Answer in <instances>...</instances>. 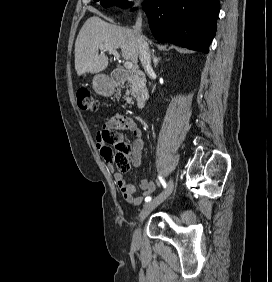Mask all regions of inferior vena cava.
<instances>
[{
  "mask_svg": "<svg viewBox=\"0 0 272 282\" xmlns=\"http://www.w3.org/2000/svg\"><path fill=\"white\" fill-rule=\"evenodd\" d=\"M142 16L141 13L137 17L135 26H134V32L137 37V41L139 44V57L140 61L142 63V66L144 67V70L147 74H150L153 70L151 67V59H150V50L147 41L142 35ZM155 89V86L153 87V91Z\"/></svg>",
  "mask_w": 272,
  "mask_h": 282,
  "instance_id": "obj_1",
  "label": "inferior vena cava"
}]
</instances>
